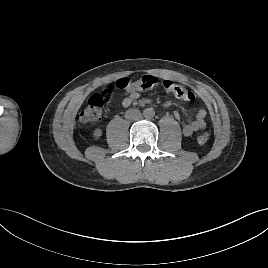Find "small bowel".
<instances>
[{
	"mask_svg": "<svg viewBox=\"0 0 268 268\" xmlns=\"http://www.w3.org/2000/svg\"><path fill=\"white\" fill-rule=\"evenodd\" d=\"M140 98V90L132 89L129 91L128 95L123 98L122 106L129 107L134 101ZM207 112L204 109H200L194 118L186 119L179 112L175 111V118L181 123L182 131L185 136H192L199 130H202L206 127V118Z\"/></svg>",
	"mask_w": 268,
	"mask_h": 268,
	"instance_id": "1",
	"label": "small bowel"
}]
</instances>
